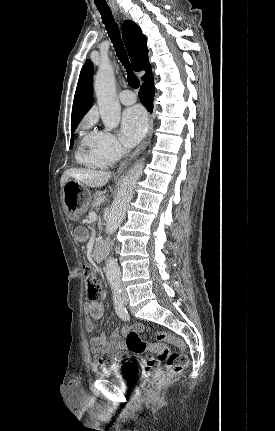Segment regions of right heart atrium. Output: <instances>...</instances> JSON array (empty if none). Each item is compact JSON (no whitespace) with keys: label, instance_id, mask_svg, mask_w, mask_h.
I'll use <instances>...</instances> for the list:
<instances>
[{"label":"right heart atrium","instance_id":"1","mask_svg":"<svg viewBox=\"0 0 275 431\" xmlns=\"http://www.w3.org/2000/svg\"><path fill=\"white\" fill-rule=\"evenodd\" d=\"M89 146L96 156L109 163L117 161L124 152L117 137L113 133L105 130L91 133Z\"/></svg>","mask_w":275,"mask_h":431}]
</instances>
